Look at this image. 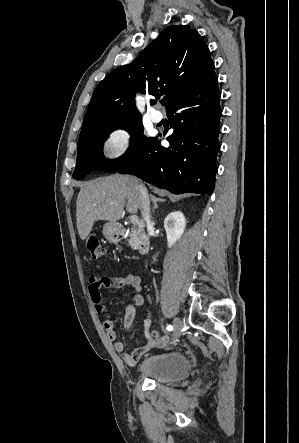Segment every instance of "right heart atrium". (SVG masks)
<instances>
[{"instance_id":"obj_1","label":"right heart atrium","mask_w":299,"mask_h":443,"mask_svg":"<svg viewBox=\"0 0 299 443\" xmlns=\"http://www.w3.org/2000/svg\"><path fill=\"white\" fill-rule=\"evenodd\" d=\"M134 134L124 127L111 130L103 140L102 149L110 159H118L125 156L132 147Z\"/></svg>"}]
</instances>
